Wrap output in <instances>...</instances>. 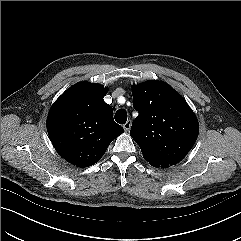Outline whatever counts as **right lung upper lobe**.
<instances>
[{"label":"right lung upper lobe","mask_w":241,"mask_h":241,"mask_svg":"<svg viewBox=\"0 0 241 241\" xmlns=\"http://www.w3.org/2000/svg\"><path fill=\"white\" fill-rule=\"evenodd\" d=\"M107 89L99 84L77 83L50 109L47 130L61 157L79 167L100 160L109 144L124 132L114 122L112 107L103 100Z\"/></svg>","instance_id":"obj_1"}]
</instances>
